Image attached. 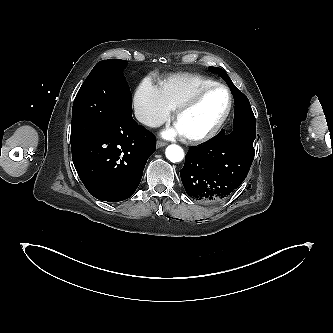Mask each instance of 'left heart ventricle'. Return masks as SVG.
<instances>
[{
  "label": "left heart ventricle",
  "instance_id": "obj_1",
  "mask_svg": "<svg viewBox=\"0 0 333 333\" xmlns=\"http://www.w3.org/2000/svg\"><path fill=\"white\" fill-rule=\"evenodd\" d=\"M228 105V95L223 88L208 92L192 109L184 113L176 126L183 135L205 133L222 117Z\"/></svg>",
  "mask_w": 333,
  "mask_h": 333
}]
</instances>
